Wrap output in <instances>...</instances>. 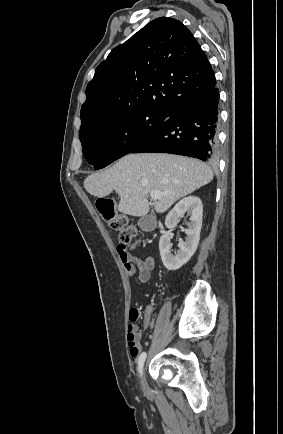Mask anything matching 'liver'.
<instances>
[{
	"instance_id": "6515ba94",
	"label": "liver",
	"mask_w": 283,
	"mask_h": 434,
	"mask_svg": "<svg viewBox=\"0 0 283 434\" xmlns=\"http://www.w3.org/2000/svg\"><path fill=\"white\" fill-rule=\"evenodd\" d=\"M213 172L205 163L179 155L163 153L128 154L111 168L89 175L84 188L96 197L115 190L120 198L118 210L131 216H145L149 211L148 194L163 193L154 208L167 211L177 200L208 184Z\"/></svg>"
}]
</instances>
